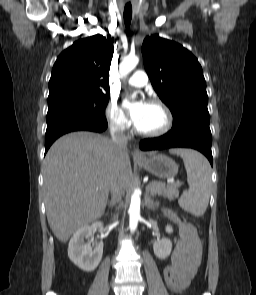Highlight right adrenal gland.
<instances>
[{"label":"right adrenal gland","mask_w":256,"mask_h":295,"mask_svg":"<svg viewBox=\"0 0 256 295\" xmlns=\"http://www.w3.org/2000/svg\"><path fill=\"white\" fill-rule=\"evenodd\" d=\"M108 205L110 206L111 205V202H108Z\"/></svg>","instance_id":"right-adrenal-gland-1"}]
</instances>
